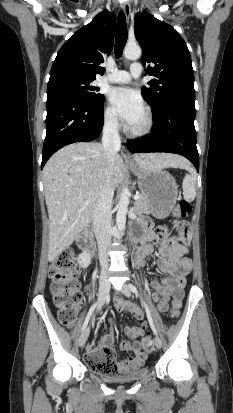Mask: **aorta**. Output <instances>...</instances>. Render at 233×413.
Here are the masks:
<instances>
[{"label": "aorta", "mask_w": 233, "mask_h": 413, "mask_svg": "<svg viewBox=\"0 0 233 413\" xmlns=\"http://www.w3.org/2000/svg\"><path fill=\"white\" fill-rule=\"evenodd\" d=\"M123 54L125 58L129 60H136L141 57L142 49L138 45H134V46L128 45L125 47ZM128 193H129L128 189L123 188L121 195H120L119 202H118V206H117L118 211L116 215V224H117V228L119 232H122L124 230L125 223H126V215L128 212V204H129Z\"/></svg>", "instance_id": "1"}]
</instances>
